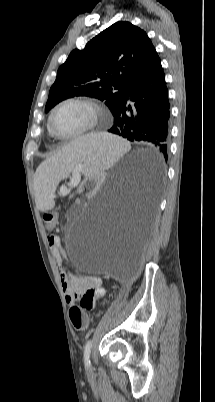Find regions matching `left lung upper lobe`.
Returning a JSON list of instances; mask_svg holds the SVG:
<instances>
[{
  "instance_id": "left-lung-upper-lobe-1",
  "label": "left lung upper lobe",
  "mask_w": 215,
  "mask_h": 402,
  "mask_svg": "<svg viewBox=\"0 0 215 402\" xmlns=\"http://www.w3.org/2000/svg\"><path fill=\"white\" fill-rule=\"evenodd\" d=\"M159 56L146 32L119 21L73 50L61 65L52 85L45 112L74 96L105 101L112 114L129 85L150 68Z\"/></svg>"
}]
</instances>
